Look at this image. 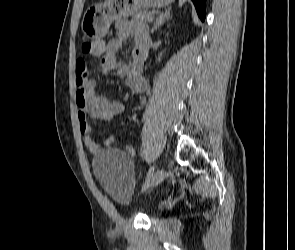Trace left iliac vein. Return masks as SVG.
I'll return each instance as SVG.
<instances>
[{
    "label": "left iliac vein",
    "mask_w": 295,
    "mask_h": 250,
    "mask_svg": "<svg viewBox=\"0 0 295 250\" xmlns=\"http://www.w3.org/2000/svg\"><path fill=\"white\" fill-rule=\"evenodd\" d=\"M166 175L167 173L164 169L158 170L154 178L151 180L149 185L144 190L149 191L155 188L158 184H160L166 178Z\"/></svg>",
    "instance_id": "1"
}]
</instances>
